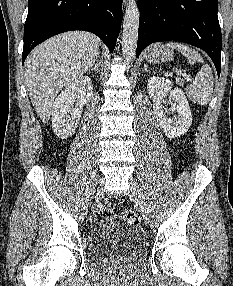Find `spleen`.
<instances>
[{"instance_id": "1", "label": "spleen", "mask_w": 233, "mask_h": 286, "mask_svg": "<svg viewBox=\"0 0 233 286\" xmlns=\"http://www.w3.org/2000/svg\"><path fill=\"white\" fill-rule=\"evenodd\" d=\"M170 48H175L181 52L190 64L196 62L202 63L200 71L196 74L192 84L186 87V93L191 101L198 105H206L212 97L213 93V74L209 65L205 64L203 58L195 49L182 43L171 42L167 44Z\"/></svg>"}]
</instances>
